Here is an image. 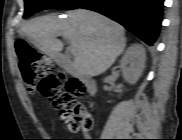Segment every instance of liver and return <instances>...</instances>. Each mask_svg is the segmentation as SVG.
Segmentation results:
<instances>
[{"label":"liver","mask_w":182,"mask_h":140,"mask_svg":"<svg viewBox=\"0 0 182 140\" xmlns=\"http://www.w3.org/2000/svg\"><path fill=\"white\" fill-rule=\"evenodd\" d=\"M33 43L50 56L63 49L57 36H63L78 50L74 69L94 77L105 72L125 48L124 28L111 19L86 9L67 12L66 19L45 15L31 19L21 27Z\"/></svg>","instance_id":"1"}]
</instances>
